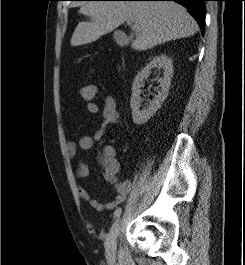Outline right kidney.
<instances>
[{"label": "right kidney", "instance_id": "1", "mask_svg": "<svg viewBox=\"0 0 245 265\" xmlns=\"http://www.w3.org/2000/svg\"><path fill=\"white\" fill-rule=\"evenodd\" d=\"M163 69V78L158 81L160 83V90L158 94L154 96V99L150 101L147 107L140 110L142 93L141 87L144 86V80L150 75L152 69ZM173 76L172 60L166 55L155 56L134 78L132 85V95L130 99V107L132 110L133 122L137 125L146 123L154 113L161 107L165 98L168 95L169 87L171 85V78Z\"/></svg>", "mask_w": 245, "mask_h": 265}]
</instances>
